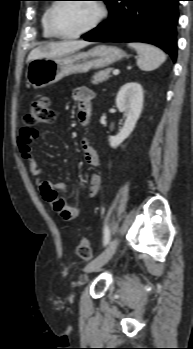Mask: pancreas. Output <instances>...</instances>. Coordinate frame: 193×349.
Masks as SVG:
<instances>
[{
  "label": "pancreas",
  "mask_w": 193,
  "mask_h": 349,
  "mask_svg": "<svg viewBox=\"0 0 193 349\" xmlns=\"http://www.w3.org/2000/svg\"><path fill=\"white\" fill-rule=\"evenodd\" d=\"M111 70H112L111 68H107L103 71H99V72L95 73L91 82L93 84H98V83H101L103 81H106L109 78V74H110Z\"/></svg>",
  "instance_id": "obj_1"
}]
</instances>
